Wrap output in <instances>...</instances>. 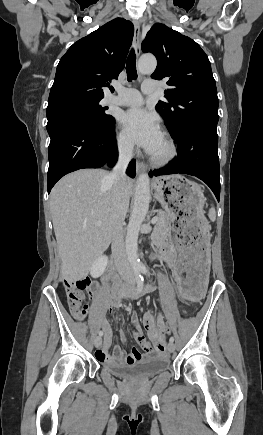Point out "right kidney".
<instances>
[{
	"label": "right kidney",
	"instance_id": "obj_1",
	"mask_svg": "<svg viewBox=\"0 0 263 435\" xmlns=\"http://www.w3.org/2000/svg\"><path fill=\"white\" fill-rule=\"evenodd\" d=\"M107 264H108V257L105 255H101L100 257L95 259L94 262L92 263L90 268V275L93 278L100 277L104 273Z\"/></svg>",
	"mask_w": 263,
	"mask_h": 435
}]
</instances>
